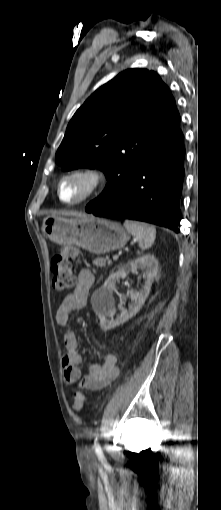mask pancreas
Returning a JSON list of instances; mask_svg holds the SVG:
<instances>
[{
  "label": "pancreas",
  "mask_w": 221,
  "mask_h": 510,
  "mask_svg": "<svg viewBox=\"0 0 221 510\" xmlns=\"http://www.w3.org/2000/svg\"><path fill=\"white\" fill-rule=\"evenodd\" d=\"M93 264L97 267H105L106 266V260L103 258H97L93 261Z\"/></svg>",
  "instance_id": "obj_1"
}]
</instances>
